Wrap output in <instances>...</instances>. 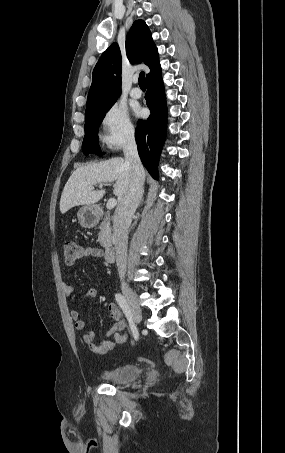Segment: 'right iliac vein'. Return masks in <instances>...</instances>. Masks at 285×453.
Segmentation results:
<instances>
[{"label":"right iliac vein","instance_id":"right-iliac-vein-1","mask_svg":"<svg viewBox=\"0 0 285 453\" xmlns=\"http://www.w3.org/2000/svg\"><path fill=\"white\" fill-rule=\"evenodd\" d=\"M121 288H122L124 297L128 303V306L130 308L132 319L136 324H139L142 320V312H141V308L138 304L137 298L128 284L122 283Z\"/></svg>","mask_w":285,"mask_h":453}]
</instances>
